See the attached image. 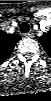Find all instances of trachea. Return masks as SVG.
Masks as SVG:
<instances>
[{"label": "trachea", "instance_id": "3493384b", "mask_svg": "<svg viewBox=\"0 0 51 101\" xmlns=\"http://www.w3.org/2000/svg\"><path fill=\"white\" fill-rule=\"evenodd\" d=\"M29 30H30V25L27 22L21 23V25H20V31L22 33H28Z\"/></svg>", "mask_w": 51, "mask_h": 101}]
</instances>
